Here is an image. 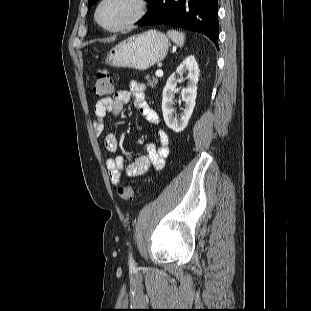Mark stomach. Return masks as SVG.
Segmentation results:
<instances>
[{"label":"stomach","mask_w":311,"mask_h":311,"mask_svg":"<svg viewBox=\"0 0 311 311\" xmlns=\"http://www.w3.org/2000/svg\"><path fill=\"white\" fill-rule=\"evenodd\" d=\"M169 46L164 33L149 30L115 45L108 52L105 63L112 67L146 70L166 57Z\"/></svg>","instance_id":"0dacf381"}]
</instances>
